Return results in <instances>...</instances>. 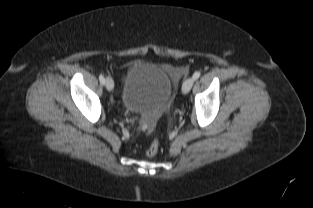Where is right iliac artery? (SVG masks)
<instances>
[{
	"label": "right iliac artery",
	"instance_id": "1",
	"mask_svg": "<svg viewBox=\"0 0 313 208\" xmlns=\"http://www.w3.org/2000/svg\"><path fill=\"white\" fill-rule=\"evenodd\" d=\"M99 80H100L101 84H103V85L105 84V78H104L103 74L99 75Z\"/></svg>",
	"mask_w": 313,
	"mask_h": 208
}]
</instances>
